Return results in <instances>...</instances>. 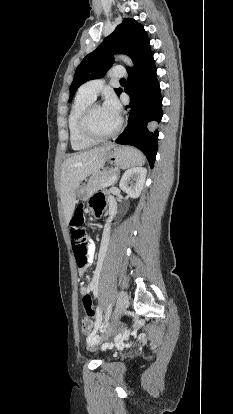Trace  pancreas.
Returning a JSON list of instances; mask_svg holds the SVG:
<instances>
[{"label":"pancreas","instance_id":"1","mask_svg":"<svg viewBox=\"0 0 233 414\" xmlns=\"http://www.w3.org/2000/svg\"><path fill=\"white\" fill-rule=\"evenodd\" d=\"M119 170L116 168H110L103 171H98L93 173L88 181V191L91 194L92 192L107 187V182L113 177L118 176Z\"/></svg>","mask_w":233,"mask_h":414}]
</instances>
